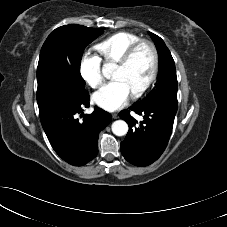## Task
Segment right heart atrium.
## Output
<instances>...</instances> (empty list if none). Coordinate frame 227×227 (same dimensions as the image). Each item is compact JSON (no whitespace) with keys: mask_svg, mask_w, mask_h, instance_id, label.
<instances>
[{"mask_svg":"<svg viewBox=\"0 0 227 227\" xmlns=\"http://www.w3.org/2000/svg\"><path fill=\"white\" fill-rule=\"evenodd\" d=\"M79 71L84 81L92 88L102 85L104 77L102 74L101 60L91 52H85L79 63Z\"/></svg>","mask_w":227,"mask_h":227,"instance_id":"d8ad5b80","label":"right heart atrium"}]
</instances>
